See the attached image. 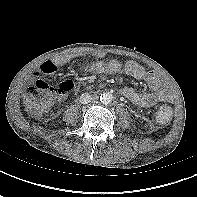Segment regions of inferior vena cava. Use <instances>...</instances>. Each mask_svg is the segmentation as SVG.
Instances as JSON below:
<instances>
[{
  "mask_svg": "<svg viewBox=\"0 0 197 197\" xmlns=\"http://www.w3.org/2000/svg\"><path fill=\"white\" fill-rule=\"evenodd\" d=\"M92 101V97L89 93H83L80 96V102L82 104H89Z\"/></svg>",
  "mask_w": 197,
  "mask_h": 197,
  "instance_id": "602c4592",
  "label": "inferior vena cava"
}]
</instances>
